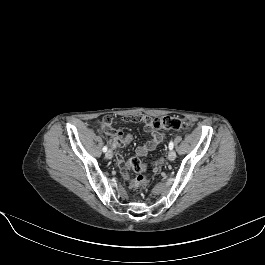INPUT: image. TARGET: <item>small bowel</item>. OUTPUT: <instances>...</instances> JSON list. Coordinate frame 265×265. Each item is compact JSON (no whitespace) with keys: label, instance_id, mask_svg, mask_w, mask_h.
Wrapping results in <instances>:
<instances>
[{"label":"small bowel","instance_id":"c3829d8e","mask_svg":"<svg viewBox=\"0 0 265 265\" xmlns=\"http://www.w3.org/2000/svg\"><path fill=\"white\" fill-rule=\"evenodd\" d=\"M127 120L132 122H144L143 130L149 135V140L137 147L136 154L138 156L147 155L164 141L165 134L162 131L155 129L150 121L145 117L134 115ZM112 126L113 124L110 127H106L104 124L100 130L111 136L112 146L117 150L116 162L120 168L121 175L124 178H127L128 172L124 164L122 149L132 142V136L121 130L113 129Z\"/></svg>","mask_w":265,"mask_h":265}]
</instances>
